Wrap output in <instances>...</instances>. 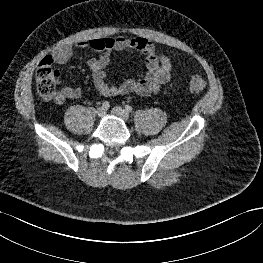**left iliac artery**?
Wrapping results in <instances>:
<instances>
[{
  "label": "left iliac artery",
  "mask_w": 263,
  "mask_h": 263,
  "mask_svg": "<svg viewBox=\"0 0 263 263\" xmlns=\"http://www.w3.org/2000/svg\"><path fill=\"white\" fill-rule=\"evenodd\" d=\"M125 110L128 112V113H130V112H132V107L131 106H129V105H126L125 106Z\"/></svg>",
  "instance_id": "obj_1"
}]
</instances>
